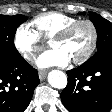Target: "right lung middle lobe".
I'll list each match as a JSON object with an SVG mask.
<instances>
[{
    "label": "right lung middle lobe",
    "instance_id": "obj_1",
    "mask_svg": "<svg viewBox=\"0 0 112 112\" xmlns=\"http://www.w3.org/2000/svg\"><path fill=\"white\" fill-rule=\"evenodd\" d=\"M26 16H5L0 14V61L19 57L20 54L14 45V35Z\"/></svg>",
    "mask_w": 112,
    "mask_h": 112
}]
</instances>
